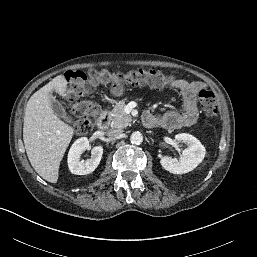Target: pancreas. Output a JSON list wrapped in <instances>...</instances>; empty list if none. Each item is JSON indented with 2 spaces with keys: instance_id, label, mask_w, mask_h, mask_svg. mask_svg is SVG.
<instances>
[{
  "instance_id": "cf45deb5",
  "label": "pancreas",
  "mask_w": 257,
  "mask_h": 257,
  "mask_svg": "<svg viewBox=\"0 0 257 257\" xmlns=\"http://www.w3.org/2000/svg\"><path fill=\"white\" fill-rule=\"evenodd\" d=\"M125 106V101L121 100L116 103L115 107L108 113L111 127L121 129L130 125L132 117L125 113Z\"/></svg>"
}]
</instances>
